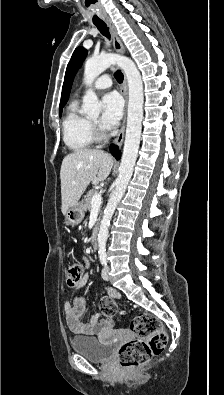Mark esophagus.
<instances>
[{
	"mask_svg": "<svg viewBox=\"0 0 224 395\" xmlns=\"http://www.w3.org/2000/svg\"><path fill=\"white\" fill-rule=\"evenodd\" d=\"M106 24L108 25V27L110 28L112 37H113V46L116 52L123 54L125 52V48L124 45L122 43L121 38L119 37L118 33H117V29L114 26L113 22L111 21V19H106L105 20ZM121 93L124 96L125 99V108H124V116H123V121H122V125L121 128L115 138L114 144L117 146H121L124 140V135H125V125H126V112H127V101H128V92H127V79L126 76L124 75V80H123V84L121 87Z\"/></svg>",
	"mask_w": 224,
	"mask_h": 395,
	"instance_id": "obj_1",
	"label": "esophagus"
}]
</instances>
